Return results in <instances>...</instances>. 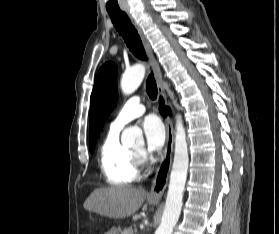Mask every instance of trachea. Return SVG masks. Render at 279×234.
<instances>
[{"mask_svg":"<svg viewBox=\"0 0 279 234\" xmlns=\"http://www.w3.org/2000/svg\"><path fill=\"white\" fill-rule=\"evenodd\" d=\"M109 16L118 33L123 37L129 50L139 59L146 60V54L140 36L132 25L125 12H109ZM146 92L154 100L157 97V85L153 74H150L146 81Z\"/></svg>","mask_w":279,"mask_h":234,"instance_id":"1","label":"trachea"}]
</instances>
